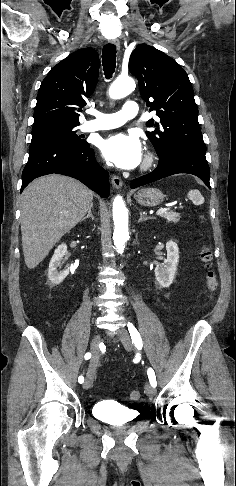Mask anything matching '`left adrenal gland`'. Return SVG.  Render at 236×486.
Here are the masks:
<instances>
[{
	"label": "left adrenal gland",
	"mask_w": 236,
	"mask_h": 486,
	"mask_svg": "<svg viewBox=\"0 0 236 486\" xmlns=\"http://www.w3.org/2000/svg\"><path fill=\"white\" fill-rule=\"evenodd\" d=\"M148 219H150V218H149V217H144V216H143V213H142V212H140V218H139V220H138V222H139V223H140V222H142V221H146V220H148Z\"/></svg>",
	"instance_id": "a2214340"
}]
</instances>
